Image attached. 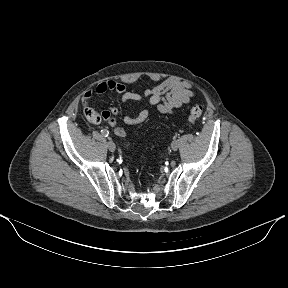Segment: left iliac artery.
I'll list each match as a JSON object with an SVG mask.
<instances>
[{
  "mask_svg": "<svg viewBox=\"0 0 288 288\" xmlns=\"http://www.w3.org/2000/svg\"><path fill=\"white\" fill-rule=\"evenodd\" d=\"M171 140L172 141H177L178 140V135L177 134H172L171 135Z\"/></svg>",
  "mask_w": 288,
  "mask_h": 288,
  "instance_id": "left-iliac-artery-1",
  "label": "left iliac artery"
}]
</instances>
